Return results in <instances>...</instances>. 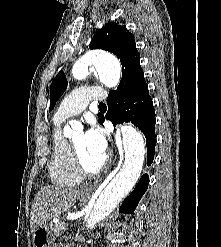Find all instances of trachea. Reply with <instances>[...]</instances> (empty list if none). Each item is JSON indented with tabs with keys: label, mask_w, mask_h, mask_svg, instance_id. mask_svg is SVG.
I'll return each instance as SVG.
<instances>
[{
	"label": "trachea",
	"mask_w": 221,
	"mask_h": 247,
	"mask_svg": "<svg viewBox=\"0 0 221 247\" xmlns=\"http://www.w3.org/2000/svg\"><path fill=\"white\" fill-rule=\"evenodd\" d=\"M99 109L100 110H104V109H107L106 105L104 103H100L99 104Z\"/></svg>",
	"instance_id": "trachea-1"
}]
</instances>
